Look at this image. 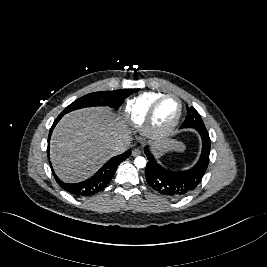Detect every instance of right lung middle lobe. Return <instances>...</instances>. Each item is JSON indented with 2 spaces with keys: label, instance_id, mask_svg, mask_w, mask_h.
<instances>
[{
  "label": "right lung middle lobe",
  "instance_id": "right-lung-middle-lobe-1",
  "mask_svg": "<svg viewBox=\"0 0 267 267\" xmlns=\"http://www.w3.org/2000/svg\"><path fill=\"white\" fill-rule=\"evenodd\" d=\"M132 93V89L94 92L75 100L73 103L67 106L63 112H61L59 117H62L68 112L84 107L110 106L117 109L123 103L124 99H126Z\"/></svg>",
  "mask_w": 267,
  "mask_h": 267
}]
</instances>
